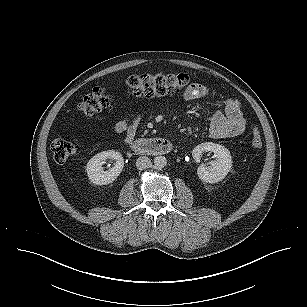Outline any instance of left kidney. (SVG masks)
<instances>
[{
	"instance_id": "left-kidney-1",
	"label": "left kidney",
	"mask_w": 307,
	"mask_h": 307,
	"mask_svg": "<svg viewBox=\"0 0 307 307\" xmlns=\"http://www.w3.org/2000/svg\"><path fill=\"white\" fill-rule=\"evenodd\" d=\"M203 152H213L215 160L211 162V166L205 167L201 164L197 169L198 177L206 183H217L222 181L232 167L231 154L227 148L212 142H205L197 145L192 156L196 162H200V157Z\"/></svg>"
}]
</instances>
